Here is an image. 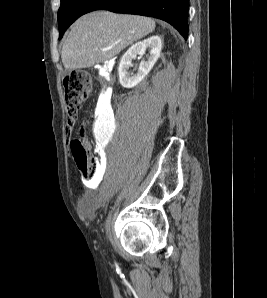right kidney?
<instances>
[{"instance_id":"ca27d5eb","label":"right kidney","mask_w":267,"mask_h":298,"mask_svg":"<svg viewBox=\"0 0 267 298\" xmlns=\"http://www.w3.org/2000/svg\"><path fill=\"white\" fill-rule=\"evenodd\" d=\"M147 48L150 49V55L147 61H141L137 74L130 76L128 69L132 66V60L136 58L137 54H145ZM161 48L162 40L158 35L151 36L132 45L122 56L119 64L118 73L120 84L124 88H133L140 83L158 60Z\"/></svg>"}]
</instances>
